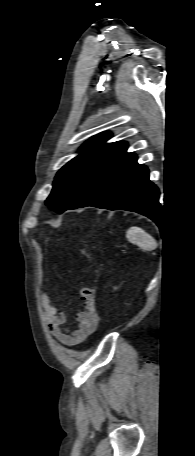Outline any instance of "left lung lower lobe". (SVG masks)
<instances>
[{
  "mask_svg": "<svg viewBox=\"0 0 195 456\" xmlns=\"http://www.w3.org/2000/svg\"><path fill=\"white\" fill-rule=\"evenodd\" d=\"M137 212L156 221L160 211L159 190L149 180L148 168L126 153L100 189L80 207Z\"/></svg>",
  "mask_w": 195,
  "mask_h": 456,
  "instance_id": "left-lung-lower-lobe-1",
  "label": "left lung lower lobe"
}]
</instances>
